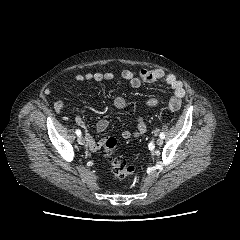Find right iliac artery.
Segmentation results:
<instances>
[{"instance_id": "82829eb1", "label": "right iliac artery", "mask_w": 240, "mask_h": 240, "mask_svg": "<svg viewBox=\"0 0 240 240\" xmlns=\"http://www.w3.org/2000/svg\"><path fill=\"white\" fill-rule=\"evenodd\" d=\"M75 133H76L77 136H81V134H82L79 129H76V132H75Z\"/></svg>"}]
</instances>
